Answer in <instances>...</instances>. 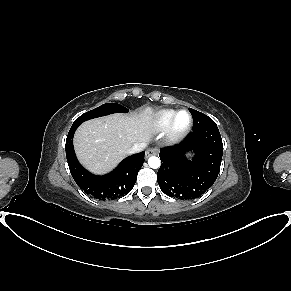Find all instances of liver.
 <instances>
[{
  "label": "liver",
  "instance_id": "1",
  "mask_svg": "<svg viewBox=\"0 0 291 291\" xmlns=\"http://www.w3.org/2000/svg\"><path fill=\"white\" fill-rule=\"evenodd\" d=\"M153 119V109L145 107L129 115L113 114L83 123L74 138L80 162L95 173L109 171L136 143L151 139Z\"/></svg>",
  "mask_w": 291,
  "mask_h": 291
}]
</instances>
